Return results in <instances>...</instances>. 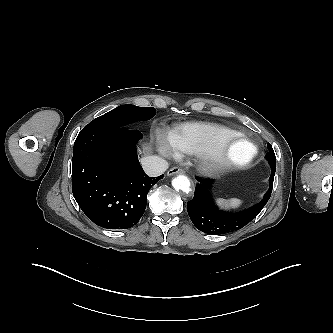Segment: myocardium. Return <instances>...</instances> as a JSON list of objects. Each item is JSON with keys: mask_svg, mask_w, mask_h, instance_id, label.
Returning <instances> with one entry per match:
<instances>
[{"mask_svg": "<svg viewBox=\"0 0 333 333\" xmlns=\"http://www.w3.org/2000/svg\"><path fill=\"white\" fill-rule=\"evenodd\" d=\"M238 145L248 148L241 157L233 153V148ZM257 152V147L247 137L236 133L218 140L210 149L199 154V167L205 173L242 168L255 159Z\"/></svg>", "mask_w": 333, "mask_h": 333, "instance_id": "f54148a6", "label": "myocardium"}]
</instances>
